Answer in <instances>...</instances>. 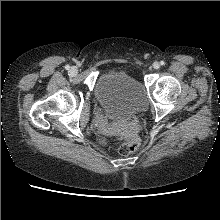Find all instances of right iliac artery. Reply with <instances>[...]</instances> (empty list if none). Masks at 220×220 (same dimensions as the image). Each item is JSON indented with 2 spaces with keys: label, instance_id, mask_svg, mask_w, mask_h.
Returning a JSON list of instances; mask_svg holds the SVG:
<instances>
[{
  "label": "right iliac artery",
  "instance_id": "obj_1",
  "mask_svg": "<svg viewBox=\"0 0 220 220\" xmlns=\"http://www.w3.org/2000/svg\"><path fill=\"white\" fill-rule=\"evenodd\" d=\"M65 68H66L67 70H69L70 67L67 65Z\"/></svg>",
  "mask_w": 220,
  "mask_h": 220
}]
</instances>
